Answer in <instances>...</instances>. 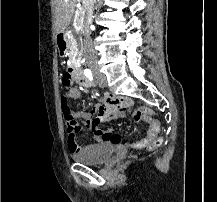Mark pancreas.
<instances>
[{
  "mask_svg": "<svg viewBox=\"0 0 217 202\" xmlns=\"http://www.w3.org/2000/svg\"><path fill=\"white\" fill-rule=\"evenodd\" d=\"M74 50H76V48H74ZM75 54H77V50H76Z\"/></svg>",
  "mask_w": 217,
  "mask_h": 202,
  "instance_id": "cf45deb5",
  "label": "pancreas"
}]
</instances>
